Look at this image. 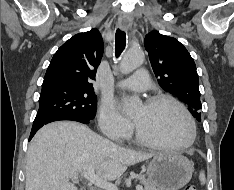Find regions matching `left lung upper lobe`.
Returning a JSON list of instances; mask_svg holds the SVG:
<instances>
[{
    "label": "left lung upper lobe",
    "mask_w": 234,
    "mask_h": 190,
    "mask_svg": "<svg viewBox=\"0 0 234 190\" xmlns=\"http://www.w3.org/2000/svg\"><path fill=\"white\" fill-rule=\"evenodd\" d=\"M144 45L161 87L186 103L192 115L201 121L198 74L187 49L177 39L157 31L145 36Z\"/></svg>",
    "instance_id": "left-lung-upper-lobe-1"
}]
</instances>
